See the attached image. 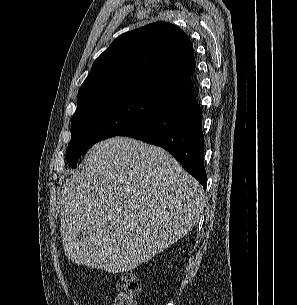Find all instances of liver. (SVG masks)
<instances>
[{"instance_id":"6515ba94","label":"liver","mask_w":297,"mask_h":305,"mask_svg":"<svg viewBox=\"0 0 297 305\" xmlns=\"http://www.w3.org/2000/svg\"><path fill=\"white\" fill-rule=\"evenodd\" d=\"M60 204L66 256L118 273L184 237L198 221L205 195L164 149L116 136L88 151L85 168L66 179ZM82 231L89 237L78 243Z\"/></svg>"}]
</instances>
